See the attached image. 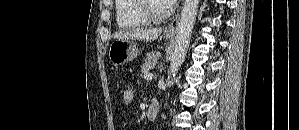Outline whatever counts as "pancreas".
I'll list each match as a JSON object with an SVG mask.
<instances>
[{"label":"pancreas","mask_w":299,"mask_h":130,"mask_svg":"<svg viewBox=\"0 0 299 130\" xmlns=\"http://www.w3.org/2000/svg\"><path fill=\"white\" fill-rule=\"evenodd\" d=\"M159 57L160 54L157 52H150L146 54V59L142 66V73L147 74L149 70L153 69Z\"/></svg>","instance_id":"obj_1"}]
</instances>
